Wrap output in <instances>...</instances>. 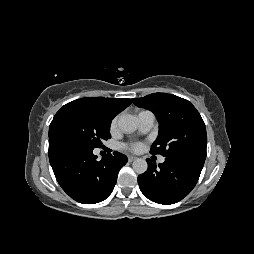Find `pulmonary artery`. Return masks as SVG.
<instances>
[{
  "label": "pulmonary artery",
  "instance_id": "1",
  "mask_svg": "<svg viewBox=\"0 0 254 254\" xmlns=\"http://www.w3.org/2000/svg\"><path fill=\"white\" fill-rule=\"evenodd\" d=\"M137 121L140 132L147 133L152 129L154 125V115L149 111H142L139 113ZM164 161L165 157H159L160 163H163Z\"/></svg>",
  "mask_w": 254,
  "mask_h": 254
}]
</instances>
